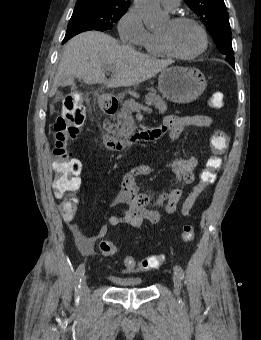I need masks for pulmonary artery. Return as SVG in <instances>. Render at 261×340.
<instances>
[{"label": "pulmonary artery", "instance_id": "1", "mask_svg": "<svg viewBox=\"0 0 261 340\" xmlns=\"http://www.w3.org/2000/svg\"><path fill=\"white\" fill-rule=\"evenodd\" d=\"M161 4L170 10H174L178 7L180 0H160Z\"/></svg>", "mask_w": 261, "mask_h": 340}]
</instances>
